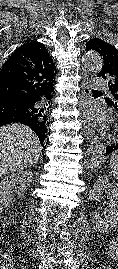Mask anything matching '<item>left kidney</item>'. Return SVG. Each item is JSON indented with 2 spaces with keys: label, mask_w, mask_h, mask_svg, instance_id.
Wrapping results in <instances>:
<instances>
[{
  "label": "left kidney",
  "mask_w": 118,
  "mask_h": 269,
  "mask_svg": "<svg viewBox=\"0 0 118 269\" xmlns=\"http://www.w3.org/2000/svg\"><path fill=\"white\" fill-rule=\"evenodd\" d=\"M103 194L107 195L108 199L106 202L108 206L103 212L104 218L95 212L93 223L100 232L106 233L118 223V188L111 184L107 177L100 176L89 192V199L101 202Z\"/></svg>",
  "instance_id": "1"
}]
</instances>
